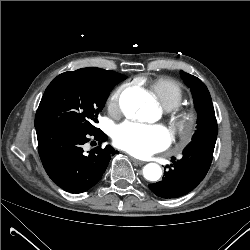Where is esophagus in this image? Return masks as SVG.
I'll return each instance as SVG.
<instances>
[{"label":"esophagus","mask_w":250,"mask_h":250,"mask_svg":"<svg viewBox=\"0 0 250 250\" xmlns=\"http://www.w3.org/2000/svg\"><path fill=\"white\" fill-rule=\"evenodd\" d=\"M132 161L133 163L138 166V165H143L145 162L144 161H141V160H138V159H135V158H132Z\"/></svg>","instance_id":"34e87169"}]
</instances>
